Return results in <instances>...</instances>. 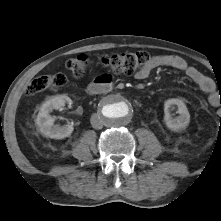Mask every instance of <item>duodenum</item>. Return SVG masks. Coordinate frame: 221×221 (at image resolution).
<instances>
[{"label": "duodenum", "instance_id": "duodenum-1", "mask_svg": "<svg viewBox=\"0 0 221 221\" xmlns=\"http://www.w3.org/2000/svg\"><path fill=\"white\" fill-rule=\"evenodd\" d=\"M113 90L110 80L106 78H97L88 85L87 91L89 94H102Z\"/></svg>", "mask_w": 221, "mask_h": 221}]
</instances>
